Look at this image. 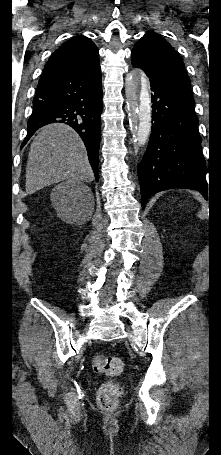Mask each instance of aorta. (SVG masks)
Listing matches in <instances>:
<instances>
[{
	"instance_id": "1",
	"label": "aorta",
	"mask_w": 221,
	"mask_h": 455,
	"mask_svg": "<svg viewBox=\"0 0 221 455\" xmlns=\"http://www.w3.org/2000/svg\"><path fill=\"white\" fill-rule=\"evenodd\" d=\"M125 94L133 141L143 146L151 133L152 109L148 81L141 69L134 68L127 74Z\"/></svg>"
}]
</instances>
